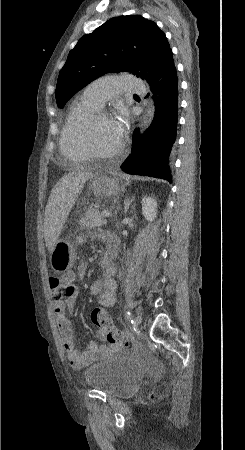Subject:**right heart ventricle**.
<instances>
[{"label":"right heart ventricle","instance_id":"right-heart-ventricle-1","mask_svg":"<svg viewBox=\"0 0 245 450\" xmlns=\"http://www.w3.org/2000/svg\"><path fill=\"white\" fill-rule=\"evenodd\" d=\"M98 108L83 93L74 99L60 134V150L64 156L75 161L89 159L84 143V131L88 118Z\"/></svg>","mask_w":245,"mask_h":450}]
</instances>
